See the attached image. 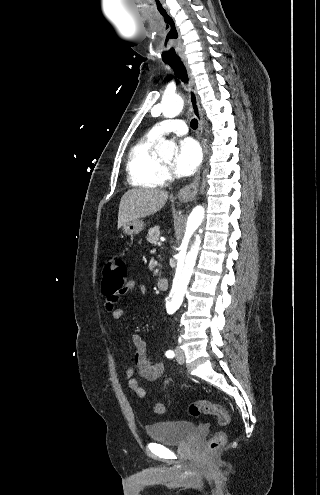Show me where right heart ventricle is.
<instances>
[{
  "label": "right heart ventricle",
  "mask_w": 320,
  "mask_h": 495,
  "mask_svg": "<svg viewBox=\"0 0 320 495\" xmlns=\"http://www.w3.org/2000/svg\"><path fill=\"white\" fill-rule=\"evenodd\" d=\"M157 141V137L147 133L130 148L126 170L132 185L140 188H156L162 184V167L154 153Z\"/></svg>",
  "instance_id": "e07e8e85"
}]
</instances>
